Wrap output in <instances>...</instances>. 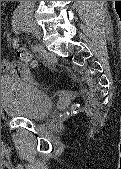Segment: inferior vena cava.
Returning <instances> with one entry per match:
<instances>
[{
	"label": "inferior vena cava",
	"instance_id": "1",
	"mask_svg": "<svg viewBox=\"0 0 121 169\" xmlns=\"http://www.w3.org/2000/svg\"><path fill=\"white\" fill-rule=\"evenodd\" d=\"M24 3L34 4L35 1H23Z\"/></svg>",
	"mask_w": 121,
	"mask_h": 169
}]
</instances>
